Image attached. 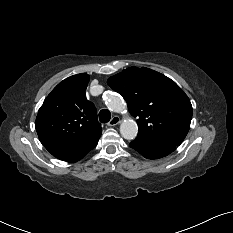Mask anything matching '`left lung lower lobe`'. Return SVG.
Returning a JSON list of instances; mask_svg holds the SVG:
<instances>
[{"label": "left lung lower lobe", "instance_id": "0a47b994", "mask_svg": "<svg viewBox=\"0 0 233 233\" xmlns=\"http://www.w3.org/2000/svg\"><path fill=\"white\" fill-rule=\"evenodd\" d=\"M129 146L148 159H158L167 156L176 149L174 145L141 138H136Z\"/></svg>", "mask_w": 233, "mask_h": 233}]
</instances>
